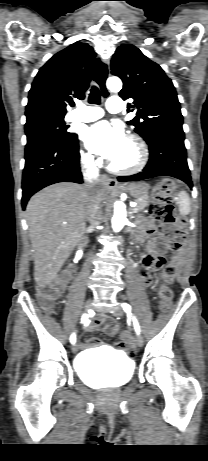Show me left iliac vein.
<instances>
[{
	"label": "left iliac vein",
	"instance_id": "1",
	"mask_svg": "<svg viewBox=\"0 0 208 461\" xmlns=\"http://www.w3.org/2000/svg\"><path fill=\"white\" fill-rule=\"evenodd\" d=\"M123 313H124V312H123L122 308H120V307H115V309H114V311H113L114 316H122ZM143 342H144V341H143V337H142L140 334H138V335H137V338H136V344H137V346H138V347L143 346Z\"/></svg>",
	"mask_w": 208,
	"mask_h": 461
}]
</instances>
